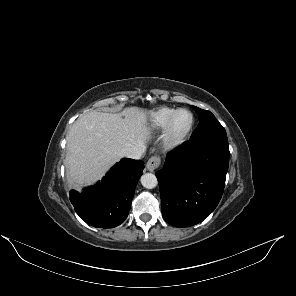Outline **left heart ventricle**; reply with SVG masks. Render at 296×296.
Instances as JSON below:
<instances>
[{
    "label": "left heart ventricle",
    "mask_w": 296,
    "mask_h": 296,
    "mask_svg": "<svg viewBox=\"0 0 296 296\" xmlns=\"http://www.w3.org/2000/svg\"><path fill=\"white\" fill-rule=\"evenodd\" d=\"M190 122V116L189 114L182 112L180 113L175 121V131L176 132H181L183 131L189 124Z\"/></svg>",
    "instance_id": "1"
}]
</instances>
